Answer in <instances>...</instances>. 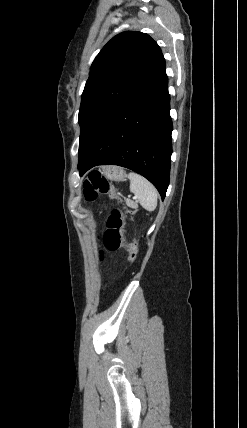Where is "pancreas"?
<instances>
[{
  "label": "pancreas",
  "mask_w": 247,
  "mask_h": 428,
  "mask_svg": "<svg viewBox=\"0 0 247 428\" xmlns=\"http://www.w3.org/2000/svg\"><path fill=\"white\" fill-rule=\"evenodd\" d=\"M125 202H126V205H127L128 207H131V208H134V209H137V208H138L137 203H136V202H134V201H132V200H130V199H126V198H125Z\"/></svg>",
  "instance_id": "cf45deb5"
}]
</instances>
